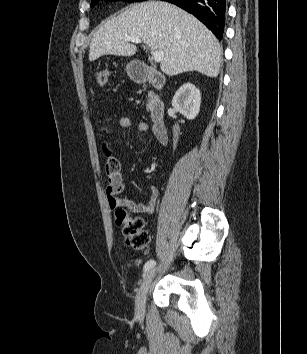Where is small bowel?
Here are the masks:
<instances>
[{
	"label": "small bowel",
	"mask_w": 307,
	"mask_h": 354,
	"mask_svg": "<svg viewBox=\"0 0 307 354\" xmlns=\"http://www.w3.org/2000/svg\"><path fill=\"white\" fill-rule=\"evenodd\" d=\"M123 129H130L137 127L141 132H149L150 127L146 122H136L130 117H122L118 122ZM103 152L105 156L106 174L108 177V184L106 187V196L109 206L114 209L116 206H126L135 213H153L158 198L159 191L155 187H150L148 199L145 202L135 203L130 200L119 199L118 195L123 191V179L121 174V167L119 161L114 157V145L107 141L104 143Z\"/></svg>",
	"instance_id": "small-bowel-1"
}]
</instances>
